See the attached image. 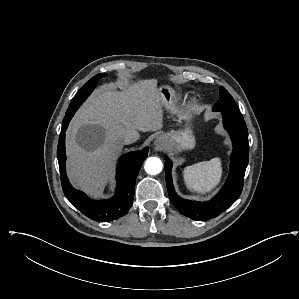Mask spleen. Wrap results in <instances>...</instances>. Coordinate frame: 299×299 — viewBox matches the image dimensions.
I'll return each mask as SVG.
<instances>
[{
	"label": "spleen",
	"instance_id": "spleen-1",
	"mask_svg": "<svg viewBox=\"0 0 299 299\" xmlns=\"http://www.w3.org/2000/svg\"><path fill=\"white\" fill-rule=\"evenodd\" d=\"M221 176L222 164L218 157L188 166L183 171L186 186L199 193L213 190L219 184Z\"/></svg>",
	"mask_w": 299,
	"mask_h": 299
}]
</instances>
